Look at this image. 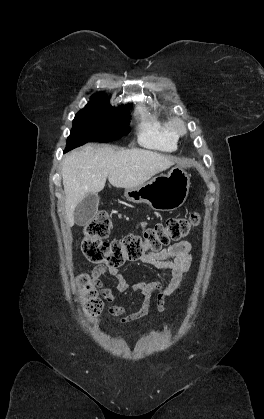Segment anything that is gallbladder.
<instances>
[{"label":"gallbladder","mask_w":264,"mask_h":419,"mask_svg":"<svg viewBox=\"0 0 264 419\" xmlns=\"http://www.w3.org/2000/svg\"><path fill=\"white\" fill-rule=\"evenodd\" d=\"M99 200L98 194L95 193H89L83 198L74 211V220L77 225L84 226L92 221L97 212Z\"/></svg>","instance_id":"obj_1"}]
</instances>
